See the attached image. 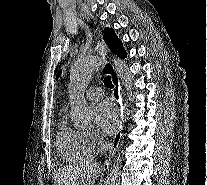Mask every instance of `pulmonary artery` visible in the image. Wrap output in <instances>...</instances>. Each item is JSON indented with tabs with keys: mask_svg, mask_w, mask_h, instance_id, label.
<instances>
[{
	"mask_svg": "<svg viewBox=\"0 0 207 185\" xmlns=\"http://www.w3.org/2000/svg\"><path fill=\"white\" fill-rule=\"evenodd\" d=\"M104 96V91L100 88H90L86 97L90 100H98Z\"/></svg>",
	"mask_w": 207,
	"mask_h": 185,
	"instance_id": "1",
	"label": "pulmonary artery"
}]
</instances>
